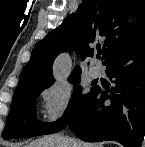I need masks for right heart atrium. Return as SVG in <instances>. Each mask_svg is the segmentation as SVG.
Here are the masks:
<instances>
[{"instance_id":"right-heart-atrium-1","label":"right heart atrium","mask_w":145,"mask_h":147,"mask_svg":"<svg viewBox=\"0 0 145 147\" xmlns=\"http://www.w3.org/2000/svg\"><path fill=\"white\" fill-rule=\"evenodd\" d=\"M74 90L67 83H53L42 90L43 113L45 120L54 124L62 120L71 107Z\"/></svg>"}]
</instances>
